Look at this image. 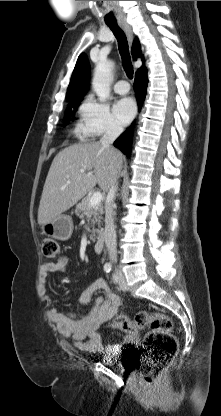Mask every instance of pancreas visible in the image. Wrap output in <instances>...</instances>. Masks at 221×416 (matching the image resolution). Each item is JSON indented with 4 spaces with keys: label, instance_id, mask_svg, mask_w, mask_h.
Masks as SVG:
<instances>
[{
    "label": "pancreas",
    "instance_id": "cf45deb5",
    "mask_svg": "<svg viewBox=\"0 0 221 416\" xmlns=\"http://www.w3.org/2000/svg\"><path fill=\"white\" fill-rule=\"evenodd\" d=\"M89 197H86L76 206L75 214L80 218L83 219L85 216L89 217V224L92 225V235L90 236L91 239L95 236V233H101L100 229H94V225L97 224L99 228H101V220L103 219L102 215L103 205L99 203L95 206H89Z\"/></svg>",
    "mask_w": 221,
    "mask_h": 416
}]
</instances>
